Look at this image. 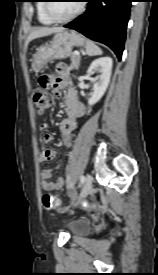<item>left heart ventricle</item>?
Here are the masks:
<instances>
[{
  "instance_id": "1",
  "label": "left heart ventricle",
  "mask_w": 158,
  "mask_h": 275,
  "mask_svg": "<svg viewBox=\"0 0 158 275\" xmlns=\"http://www.w3.org/2000/svg\"><path fill=\"white\" fill-rule=\"evenodd\" d=\"M79 5L80 1H54L51 10L55 16L65 18L74 13Z\"/></svg>"
}]
</instances>
